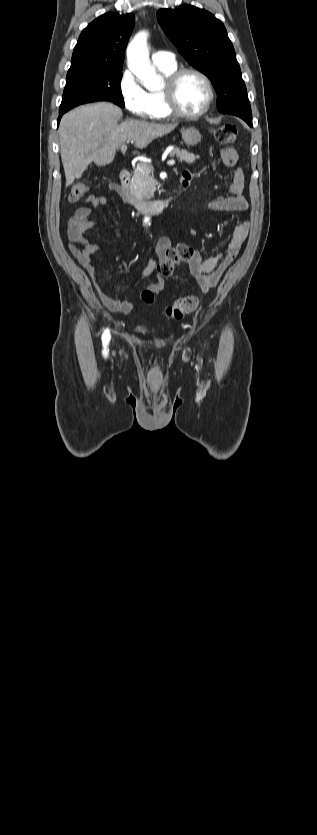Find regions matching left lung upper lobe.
I'll use <instances>...</instances> for the list:
<instances>
[{
  "label": "left lung upper lobe",
  "mask_w": 317,
  "mask_h": 835,
  "mask_svg": "<svg viewBox=\"0 0 317 835\" xmlns=\"http://www.w3.org/2000/svg\"><path fill=\"white\" fill-rule=\"evenodd\" d=\"M157 18L178 51L212 81L219 112L252 118L240 66L223 23L191 5L160 9Z\"/></svg>",
  "instance_id": "5c2ea615"
}]
</instances>
